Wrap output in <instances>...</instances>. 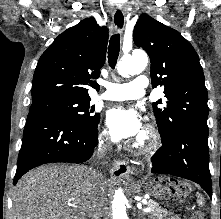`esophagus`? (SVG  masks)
Segmentation results:
<instances>
[{"label":"esophagus","instance_id":"34e87169","mask_svg":"<svg viewBox=\"0 0 221 219\" xmlns=\"http://www.w3.org/2000/svg\"><path fill=\"white\" fill-rule=\"evenodd\" d=\"M126 15L121 7H116L112 16V23L116 33H122L125 28Z\"/></svg>","mask_w":221,"mask_h":219}]
</instances>
